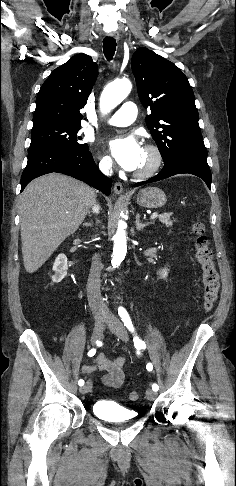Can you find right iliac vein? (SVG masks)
I'll list each match as a JSON object with an SVG mask.
<instances>
[{
	"label": "right iliac vein",
	"mask_w": 236,
	"mask_h": 486,
	"mask_svg": "<svg viewBox=\"0 0 236 486\" xmlns=\"http://www.w3.org/2000/svg\"><path fill=\"white\" fill-rule=\"evenodd\" d=\"M103 332H104V321L103 320H97L94 324L93 332H92V337L91 341L93 344H95L97 341H99L103 337ZM92 388V382L88 380L81 388L80 392L82 394H87L90 392Z\"/></svg>",
	"instance_id": "1"
}]
</instances>
